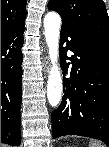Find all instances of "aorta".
Instances as JSON below:
<instances>
[{"instance_id":"obj_1","label":"aorta","mask_w":109,"mask_h":147,"mask_svg":"<svg viewBox=\"0 0 109 147\" xmlns=\"http://www.w3.org/2000/svg\"><path fill=\"white\" fill-rule=\"evenodd\" d=\"M60 28L61 17L59 14L54 11L48 12L44 17V35L52 67L48 76L47 98L53 107L59 105L62 96V78L58 67Z\"/></svg>"}]
</instances>
